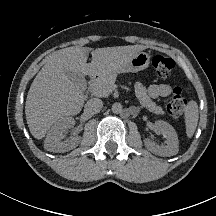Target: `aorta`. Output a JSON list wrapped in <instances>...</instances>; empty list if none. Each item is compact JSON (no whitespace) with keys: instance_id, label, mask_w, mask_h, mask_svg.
I'll return each instance as SVG.
<instances>
[{"instance_id":"762f6f07","label":"aorta","mask_w":216,"mask_h":216,"mask_svg":"<svg viewBox=\"0 0 216 216\" xmlns=\"http://www.w3.org/2000/svg\"><path fill=\"white\" fill-rule=\"evenodd\" d=\"M123 110V107L120 103H114L112 105V112L115 113V114H119L121 113Z\"/></svg>"}]
</instances>
